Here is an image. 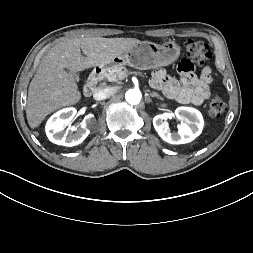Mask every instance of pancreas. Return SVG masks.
Masks as SVG:
<instances>
[{
	"label": "pancreas",
	"mask_w": 253,
	"mask_h": 253,
	"mask_svg": "<svg viewBox=\"0 0 253 253\" xmlns=\"http://www.w3.org/2000/svg\"><path fill=\"white\" fill-rule=\"evenodd\" d=\"M128 70L123 66L114 65L109 68V72L104 77L110 82H120L127 75Z\"/></svg>",
	"instance_id": "obj_1"
}]
</instances>
